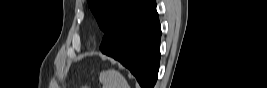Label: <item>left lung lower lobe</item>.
Masks as SVG:
<instances>
[{
	"mask_svg": "<svg viewBox=\"0 0 267 88\" xmlns=\"http://www.w3.org/2000/svg\"><path fill=\"white\" fill-rule=\"evenodd\" d=\"M160 37L155 0H141L105 32L100 50L127 67L142 88H153L160 61Z\"/></svg>",
	"mask_w": 267,
	"mask_h": 88,
	"instance_id": "left-lung-lower-lobe-1",
	"label": "left lung lower lobe"
}]
</instances>
